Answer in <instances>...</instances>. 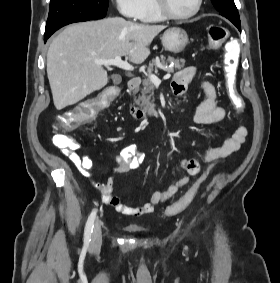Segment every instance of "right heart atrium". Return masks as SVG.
<instances>
[{
    "label": "right heart atrium",
    "instance_id": "obj_1",
    "mask_svg": "<svg viewBox=\"0 0 280 283\" xmlns=\"http://www.w3.org/2000/svg\"><path fill=\"white\" fill-rule=\"evenodd\" d=\"M118 11L129 20L141 18L145 8V0H114Z\"/></svg>",
    "mask_w": 280,
    "mask_h": 283
}]
</instances>
